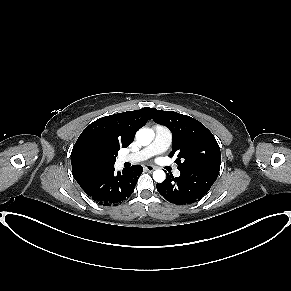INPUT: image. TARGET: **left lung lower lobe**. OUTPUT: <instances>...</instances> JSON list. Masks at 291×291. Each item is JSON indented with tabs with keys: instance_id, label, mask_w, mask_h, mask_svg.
Masks as SVG:
<instances>
[{
	"instance_id": "left-lung-lower-lobe-1",
	"label": "left lung lower lobe",
	"mask_w": 291,
	"mask_h": 291,
	"mask_svg": "<svg viewBox=\"0 0 291 291\" xmlns=\"http://www.w3.org/2000/svg\"><path fill=\"white\" fill-rule=\"evenodd\" d=\"M179 177L167 175L165 181L156 185L158 192L174 204H189L200 200L216 181L219 172L213 170H180Z\"/></svg>"
}]
</instances>
